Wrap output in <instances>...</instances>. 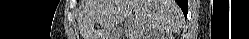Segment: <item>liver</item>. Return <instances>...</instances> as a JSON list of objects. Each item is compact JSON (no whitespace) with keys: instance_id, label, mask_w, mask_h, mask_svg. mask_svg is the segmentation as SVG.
Here are the masks:
<instances>
[{"instance_id":"6515ba94","label":"liver","mask_w":249,"mask_h":39,"mask_svg":"<svg viewBox=\"0 0 249 39\" xmlns=\"http://www.w3.org/2000/svg\"><path fill=\"white\" fill-rule=\"evenodd\" d=\"M79 14L83 39H117L112 30L122 22L126 39H150L179 32L183 20L175 0H84ZM96 24L101 29L95 30Z\"/></svg>"}]
</instances>
